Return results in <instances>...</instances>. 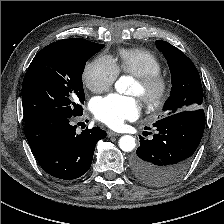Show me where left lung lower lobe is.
I'll use <instances>...</instances> for the list:
<instances>
[{
  "mask_svg": "<svg viewBox=\"0 0 224 224\" xmlns=\"http://www.w3.org/2000/svg\"><path fill=\"white\" fill-rule=\"evenodd\" d=\"M153 139L140 137L132 159L133 173L141 182L163 186L178 179L190 165L205 128L202 108L177 112L153 124Z\"/></svg>",
  "mask_w": 224,
  "mask_h": 224,
  "instance_id": "0a47b994",
  "label": "left lung lower lobe"
}]
</instances>
